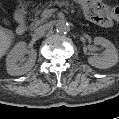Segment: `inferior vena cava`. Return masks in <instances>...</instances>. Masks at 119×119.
I'll list each match as a JSON object with an SVG mask.
<instances>
[{
  "mask_svg": "<svg viewBox=\"0 0 119 119\" xmlns=\"http://www.w3.org/2000/svg\"><path fill=\"white\" fill-rule=\"evenodd\" d=\"M51 27L50 24H44L39 26L36 30H35V34L40 35L43 34L44 32H46L47 30H49Z\"/></svg>",
  "mask_w": 119,
  "mask_h": 119,
  "instance_id": "602c4592",
  "label": "inferior vena cava"
}]
</instances>
